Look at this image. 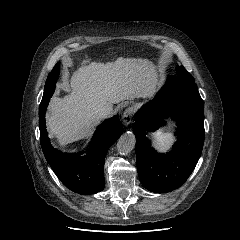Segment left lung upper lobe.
<instances>
[{
  "instance_id": "1",
  "label": "left lung upper lobe",
  "mask_w": 240,
  "mask_h": 240,
  "mask_svg": "<svg viewBox=\"0 0 240 240\" xmlns=\"http://www.w3.org/2000/svg\"><path fill=\"white\" fill-rule=\"evenodd\" d=\"M176 71H177V74L175 75L176 77H179L188 81H194V78L183 66H177Z\"/></svg>"
}]
</instances>
